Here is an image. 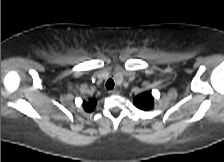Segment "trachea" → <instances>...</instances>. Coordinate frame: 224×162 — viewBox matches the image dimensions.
Returning a JSON list of instances; mask_svg holds the SVG:
<instances>
[{
  "instance_id": "3493384b",
  "label": "trachea",
  "mask_w": 224,
  "mask_h": 162,
  "mask_svg": "<svg viewBox=\"0 0 224 162\" xmlns=\"http://www.w3.org/2000/svg\"><path fill=\"white\" fill-rule=\"evenodd\" d=\"M106 88L108 90H112L114 88V81L112 79L107 80V82H106Z\"/></svg>"
}]
</instances>
